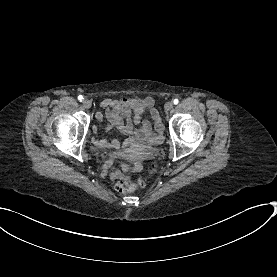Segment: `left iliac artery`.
<instances>
[{"label": "left iliac artery", "mask_w": 277, "mask_h": 277, "mask_svg": "<svg viewBox=\"0 0 277 277\" xmlns=\"http://www.w3.org/2000/svg\"><path fill=\"white\" fill-rule=\"evenodd\" d=\"M174 104H178L179 100L178 99H174Z\"/></svg>", "instance_id": "1"}]
</instances>
